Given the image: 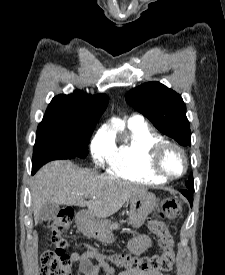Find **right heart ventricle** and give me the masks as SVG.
I'll return each instance as SVG.
<instances>
[{"label":"right heart ventricle","instance_id":"obj_1","mask_svg":"<svg viewBox=\"0 0 225 275\" xmlns=\"http://www.w3.org/2000/svg\"><path fill=\"white\" fill-rule=\"evenodd\" d=\"M126 140L115 147L108 161V172L121 179L140 184H160L166 181L150 168L153 147L165 138L145 123L129 124Z\"/></svg>","mask_w":225,"mask_h":275}]
</instances>
